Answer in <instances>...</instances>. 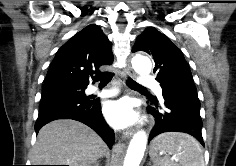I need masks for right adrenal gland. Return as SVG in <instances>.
I'll use <instances>...</instances> for the list:
<instances>
[{
    "label": "right adrenal gland",
    "mask_w": 236,
    "mask_h": 166,
    "mask_svg": "<svg viewBox=\"0 0 236 166\" xmlns=\"http://www.w3.org/2000/svg\"><path fill=\"white\" fill-rule=\"evenodd\" d=\"M93 166H99V163L98 162H96Z\"/></svg>",
    "instance_id": "right-adrenal-gland-1"
}]
</instances>
